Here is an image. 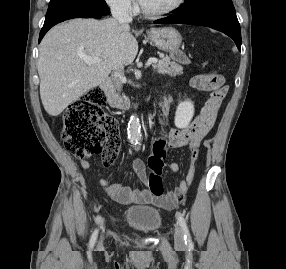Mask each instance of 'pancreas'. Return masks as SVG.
I'll return each instance as SVG.
<instances>
[{
    "label": "pancreas",
    "instance_id": "cf45deb5",
    "mask_svg": "<svg viewBox=\"0 0 286 269\" xmlns=\"http://www.w3.org/2000/svg\"><path fill=\"white\" fill-rule=\"evenodd\" d=\"M153 68L160 74H167L170 76H176L182 74V66L171 61L168 57L160 59L153 65Z\"/></svg>",
    "mask_w": 286,
    "mask_h": 269
}]
</instances>
